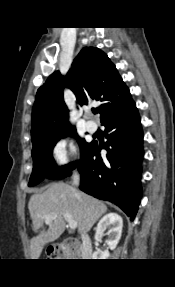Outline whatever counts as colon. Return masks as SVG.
<instances>
[{
  "instance_id": "colon-1",
  "label": "colon",
  "mask_w": 175,
  "mask_h": 287,
  "mask_svg": "<svg viewBox=\"0 0 175 287\" xmlns=\"http://www.w3.org/2000/svg\"><path fill=\"white\" fill-rule=\"evenodd\" d=\"M78 250H79V247H78V246L74 245V246L72 247V251H73V252H78ZM47 253H48V256H49V257H57V256L59 255V250H58V248H56V247H49Z\"/></svg>"
}]
</instances>
